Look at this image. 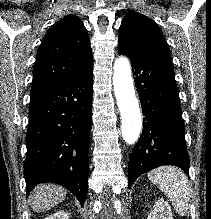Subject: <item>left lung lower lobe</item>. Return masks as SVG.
Segmentation results:
<instances>
[{
    "mask_svg": "<svg viewBox=\"0 0 211 219\" xmlns=\"http://www.w3.org/2000/svg\"><path fill=\"white\" fill-rule=\"evenodd\" d=\"M144 117L143 131L129 158V183L162 165H176L188 174L185 126L172 59L129 53Z\"/></svg>",
    "mask_w": 211,
    "mask_h": 219,
    "instance_id": "0a47b994",
    "label": "left lung lower lobe"
}]
</instances>
